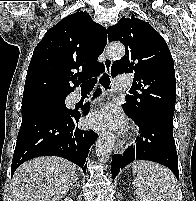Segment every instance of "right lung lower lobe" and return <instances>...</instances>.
<instances>
[{
	"label": "right lung lower lobe",
	"mask_w": 196,
	"mask_h": 201,
	"mask_svg": "<svg viewBox=\"0 0 196 201\" xmlns=\"http://www.w3.org/2000/svg\"><path fill=\"white\" fill-rule=\"evenodd\" d=\"M89 103L83 107L88 113ZM80 113L69 116L48 112H32L22 115L11 165V175L25 161L38 156H59L72 161L86 171L88 149L98 137L93 131L80 130L77 122Z\"/></svg>",
	"instance_id": "obj_1"
}]
</instances>
